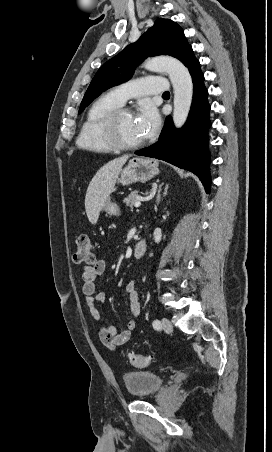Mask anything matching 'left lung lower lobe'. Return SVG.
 <instances>
[{"instance_id": "0a47b994", "label": "left lung lower lobe", "mask_w": 272, "mask_h": 452, "mask_svg": "<svg viewBox=\"0 0 272 452\" xmlns=\"http://www.w3.org/2000/svg\"><path fill=\"white\" fill-rule=\"evenodd\" d=\"M182 63L189 69L194 89L193 101L185 125L177 130L170 117L167 116L159 140L135 154L155 157L193 172L200 178L209 193L211 178L207 131L211 123L209 121L210 105L207 100L208 91L204 86V76L199 61L195 58L192 48Z\"/></svg>"}]
</instances>
